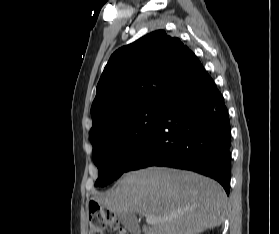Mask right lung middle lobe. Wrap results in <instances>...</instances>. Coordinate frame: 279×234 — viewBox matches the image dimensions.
<instances>
[{
    "label": "right lung middle lobe",
    "instance_id": "dd1d6c3e",
    "mask_svg": "<svg viewBox=\"0 0 279 234\" xmlns=\"http://www.w3.org/2000/svg\"><path fill=\"white\" fill-rule=\"evenodd\" d=\"M163 107H152L123 115L92 141V157L98 167L95 186L103 187L126 172L155 129Z\"/></svg>",
    "mask_w": 279,
    "mask_h": 234
}]
</instances>
